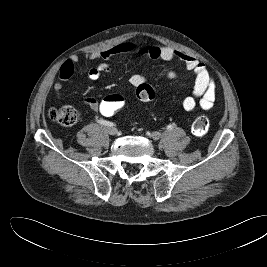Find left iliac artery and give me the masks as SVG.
Instances as JSON below:
<instances>
[{"label":"left iliac artery","mask_w":267,"mask_h":267,"mask_svg":"<svg viewBox=\"0 0 267 267\" xmlns=\"http://www.w3.org/2000/svg\"><path fill=\"white\" fill-rule=\"evenodd\" d=\"M167 129H168V130H172V129H173V125H171V124L168 125V126H167Z\"/></svg>","instance_id":"1"}]
</instances>
